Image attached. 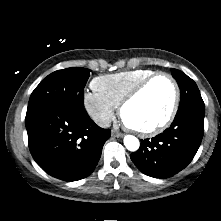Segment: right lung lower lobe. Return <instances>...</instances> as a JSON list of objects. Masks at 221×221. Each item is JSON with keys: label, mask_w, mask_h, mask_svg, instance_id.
I'll use <instances>...</instances> for the list:
<instances>
[{"label": "right lung lower lobe", "mask_w": 221, "mask_h": 221, "mask_svg": "<svg viewBox=\"0 0 221 221\" xmlns=\"http://www.w3.org/2000/svg\"><path fill=\"white\" fill-rule=\"evenodd\" d=\"M25 124L35 162L49 175L69 182L93 172L111 135L90 119L84 107L66 104L27 112Z\"/></svg>", "instance_id": "obj_1"}]
</instances>
